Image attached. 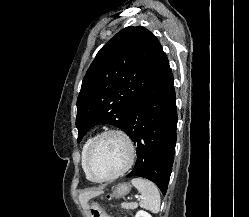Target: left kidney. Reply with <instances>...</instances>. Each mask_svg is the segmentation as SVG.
I'll list each match as a JSON object with an SVG mask.
<instances>
[{"instance_id":"5707ae66","label":"left kidney","mask_w":249,"mask_h":217,"mask_svg":"<svg viewBox=\"0 0 249 217\" xmlns=\"http://www.w3.org/2000/svg\"><path fill=\"white\" fill-rule=\"evenodd\" d=\"M135 217H152L148 212L140 210L136 213Z\"/></svg>"}]
</instances>
